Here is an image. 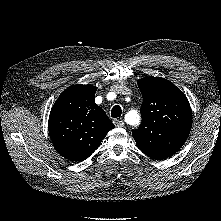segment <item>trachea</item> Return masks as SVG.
I'll list each match as a JSON object with an SVG mask.
<instances>
[{
    "mask_svg": "<svg viewBox=\"0 0 221 221\" xmlns=\"http://www.w3.org/2000/svg\"><path fill=\"white\" fill-rule=\"evenodd\" d=\"M122 113V109L119 105H115L111 110V117L117 118L120 117Z\"/></svg>",
    "mask_w": 221,
    "mask_h": 221,
    "instance_id": "3493384b",
    "label": "trachea"
}]
</instances>
